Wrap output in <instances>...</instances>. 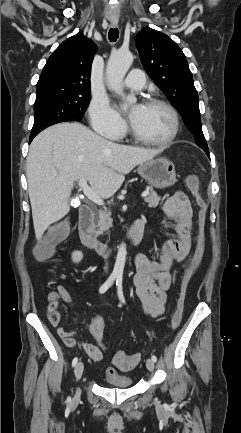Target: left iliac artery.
Wrapping results in <instances>:
<instances>
[{
	"label": "left iliac artery",
	"mask_w": 241,
	"mask_h": 433,
	"mask_svg": "<svg viewBox=\"0 0 241 433\" xmlns=\"http://www.w3.org/2000/svg\"><path fill=\"white\" fill-rule=\"evenodd\" d=\"M116 285H117V291H118V297L120 299V301L125 304V298H124V294H123V287H122V276H117V281H116ZM152 360L154 362L157 361V357L155 355L152 356Z\"/></svg>",
	"instance_id": "1"
}]
</instances>
